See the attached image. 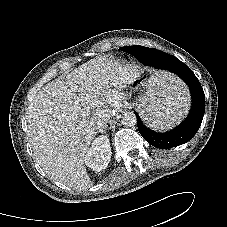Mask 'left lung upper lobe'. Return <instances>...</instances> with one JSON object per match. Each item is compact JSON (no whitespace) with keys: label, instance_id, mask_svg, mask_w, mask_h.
<instances>
[{"label":"left lung upper lobe","instance_id":"left-lung-upper-lobe-1","mask_svg":"<svg viewBox=\"0 0 227 227\" xmlns=\"http://www.w3.org/2000/svg\"><path fill=\"white\" fill-rule=\"evenodd\" d=\"M131 46H126V47H122L120 48L122 51L126 52V53H129L128 52V49H130ZM167 54V53H166Z\"/></svg>","mask_w":227,"mask_h":227}]
</instances>
